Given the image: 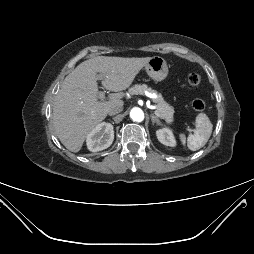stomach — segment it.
Here are the masks:
<instances>
[{
  "instance_id": "stomach-1",
  "label": "stomach",
  "mask_w": 254,
  "mask_h": 254,
  "mask_svg": "<svg viewBox=\"0 0 254 254\" xmlns=\"http://www.w3.org/2000/svg\"><path fill=\"white\" fill-rule=\"evenodd\" d=\"M145 70L150 78L156 82H161L168 75V66L164 58L153 56L145 64Z\"/></svg>"
}]
</instances>
